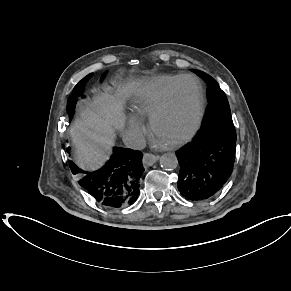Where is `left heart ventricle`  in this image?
Here are the masks:
<instances>
[{"label": "left heart ventricle", "mask_w": 291, "mask_h": 291, "mask_svg": "<svg viewBox=\"0 0 291 291\" xmlns=\"http://www.w3.org/2000/svg\"><path fill=\"white\" fill-rule=\"evenodd\" d=\"M196 102L194 82L185 81L174 95L169 110L156 122L155 135L168 143L185 135L194 124Z\"/></svg>", "instance_id": "1"}]
</instances>
